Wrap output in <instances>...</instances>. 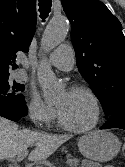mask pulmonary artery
<instances>
[{"label": "pulmonary artery", "instance_id": "e3ab8cb5", "mask_svg": "<svg viewBox=\"0 0 125 167\" xmlns=\"http://www.w3.org/2000/svg\"><path fill=\"white\" fill-rule=\"evenodd\" d=\"M74 60L72 47L63 44L49 55L47 63L59 70L69 71L74 66Z\"/></svg>", "mask_w": 125, "mask_h": 167}]
</instances>
